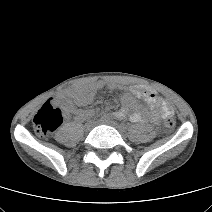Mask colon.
I'll use <instances>...</instances> for the list:
<instances>
[{
	"mask_svg": "<svg viewBox=\"0 0 212 212\" xmlns=\"http://www.w3.org/2000/svg\"><path fill=\"white\" fill-rule=\"evenodd\" d=\"M63 121V110L56 104L54 99L46 101L36 112L33 118V127L40 136H47L57 129ZM167 129L175 127V121L167 118L165 121Z\"/></svg>",
	"mask_w": 212,
	"mask_h": 212,
	"instance_id": "obj_1",
	"label": "colon"
}]
</instances>
